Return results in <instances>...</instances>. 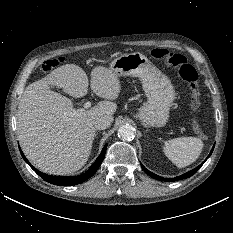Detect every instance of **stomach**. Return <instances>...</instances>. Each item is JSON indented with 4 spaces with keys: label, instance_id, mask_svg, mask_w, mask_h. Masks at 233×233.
I'll return each instance as SVG.
<instances>
[{
    "label": "stomach",
    "instance_id": "1",
    "mask_svg": "<svg viewBox=\"0 0 233 233\" xmlns=\"http://www.w3.org/2000/svg\"><path fill=\"white\" fill-rule=\"evenodd\" d=\"M118 77H139L147 102L138 110L137 118L145 127H162L169 118L175 99L170 79L142 53L133 52L117 56L109 66Z\"/></svg>",
    "mask_w": 233,
    "mask_h": 233
}]
</instances>
